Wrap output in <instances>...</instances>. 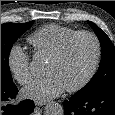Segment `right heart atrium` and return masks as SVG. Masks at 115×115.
I'll return each mask as SVG.
<instances>
[{
  "instance_id": "1",
  "label": "right heart atrium",
  "mask_w": 115,
  "mask_h": 115,
  "mask_svg": "<svg viewBox=\"0 0 115 115\" xmlns=\"http://www.w3.org/2000/svg\"><path fill=\"white\" fill-rule=\"evenodd\" d=\"M7 65L15 80L25 85L32 79L30 56L19 44H13L7 55Z\"/></svg>"
}]
</instances>
